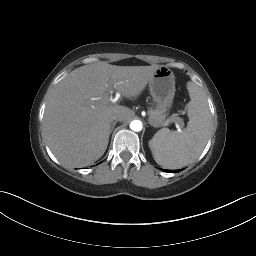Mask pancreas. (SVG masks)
<instances>
[{
    "label": "pancreas",
    "mask_w": 256,
    "mask_h": 256,
    "mask_svg": "<svg viewBox=\"0 0 256 256\" xmlns=\"http://www.w3.org/2000/svg\"><path fill=\"white\" fill-rule=\"evenodd\" d=\"M166 120V113L163 108L151 109L149 111V122L155 124L156 127L162 126ZM174 120V117L171 118V121Z\"/></svg>",
    "instance_id": "pancreas-1"
}]
</instances>
